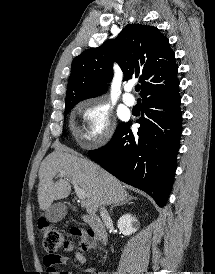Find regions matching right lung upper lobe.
<instances>
[{"instance_id": "right-lung-upper-lobe-1", "label": "right lung upper lobe", "mask_w": 215, "mask_h": 274, "mask_svg": "<svg viewBox=\"0 0 215 274\" xmlns=\"http://www.w3.org/2000/svg\"><path fill=\"white\" fill-rule=\"evenodd\" d=\"M114 61L121 67L125 81L139 78L143 99L179 85L168 39L156 27L130 24L116 39L88 49L73 60L66 106L102 94L112 79Z\"/></svg>"}]
</instances>
